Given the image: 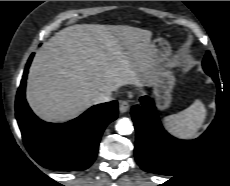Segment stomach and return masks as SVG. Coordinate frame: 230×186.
I'll use <instances>...</instances> for the list:
<instances>
[{
	"instance_id": "1",
	"label": "stomach",
	"mask_w": 230,
	"mask_h": 186,
	"mask_svg": "<svg viewBox=\"0 0 230 186\" xmlns=\"http://www.w3.org/2000/svg\"><path fill=\"white\" fill-rule=\"evenodd\" d=\"M154 50L157 66L150 78V85L153 87L159 109L164 110L171 103V94L176 82L174 73L169 69L167 62L171 47L164 38L157 37L154 41Z\"/></svg>"
}]
</instances>
